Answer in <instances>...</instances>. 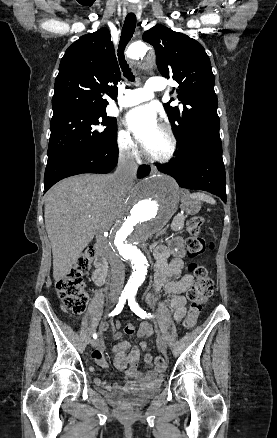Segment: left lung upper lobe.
Masks as SVG:
<instances>
[{
	"label": "left lung upper lobe",
	"mask_w": 277,
	"mask_h": 438,
	"mask_svg": "<svg viewBox=\"0 0 277 438\" xmlns=\"http://www.w3.org/2000/svg\"><path fill=\"white\" fill-rule=\"evenodd\" d=\"M143 40L154 46L160 73L179 84L174 89L176 99L164 107L177 135L179 154H184L206 127L219 125L210 59L199 42L163 25L145 31ZM177 99L182 106H170Z\"/></svg>",
	"instance_id": "obj_1"
}]
</instances>
